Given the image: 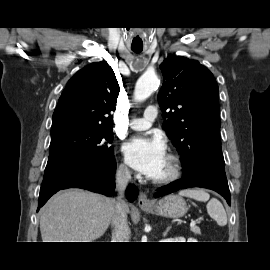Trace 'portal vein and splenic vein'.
Wrapping results in <instances>:
<instances>
[{"label":"portal vein and splenic vein","mask_w":270,"mask_h":270,"mask_svg":"<svg viewBox=\"0 0 270 270\" xmlns=\"http://www.w3.org/2000/svg\"><path fill=\"white\" fill-rule=\"evenodd\" d=\"M196 225V221L195 220H192L191 223H190V227H193Z\"/></svg>","instance_id":"1"}]
</instances>
